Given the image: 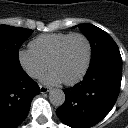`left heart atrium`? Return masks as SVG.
<instances>
[{
    "label": "left heart atrium",
    "instance_id": "obj_1",
    "mask_svg": "<svg viewBox=\"0 0 128 128\" xmlns=\"http://www.w3.org/2000/svg\"><path fill=\"white\" fill-rule=\"evenodd\" d=\"M42 82L47 85H57L61 83L62 80L54 71L51 70L42 77Z\"/></svg>",
    "mask_w": 128,
    "mask_h": 128
}]
</instances>
